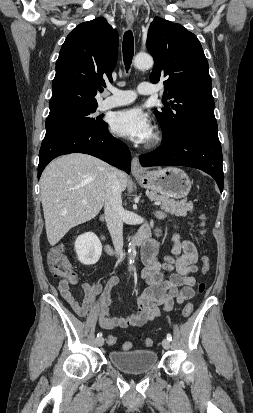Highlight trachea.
Masks as SVG:
<instances>
[{
	"label": "trachea",
	"mask_w": 253,
	"mask_h": 413,
	"mask_svg": "<svg viewBox=\"0 0 253 413\" xmlns=\"http://www.w3.org/2000/svg\"><path fill=\"white\" fill-rule=\"evenodd\" d=\"M122 48L125 68L128 71L134 54V38L131 30L125 32Z\"/></svg>",
	"instance_id": "1"
}]
</instances>
